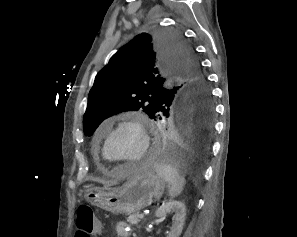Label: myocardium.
Masks as SVG:
<instances>
[{"label": "myocardium", "instance_id": "f54148a6", "mask_svg": "<svg viewBox=\"0 0 297 237\" xmlns=\"http://www.w3.org/2000/svg\"><path fill=\"white\" fill-rule=\"evenodd\" d=\"M124 127L134 128L141 139L140 152L137 155H135L134 157L126 158V159L115 157L112 154H110L108 151V144H109L111 138ZM150 148H151V137H150V134H149V131L147 128L146 120L141 117H131V118H127V119H124V120L118 122L111 129V131L107 134V136L105 138L103 152L106 155L107 159L111 162L120 163V164H128V163L139 162V161L144 160L147 157V155L149 154Z\"/></svg>", "mask_w": 297, "mask_h": 237}]
</instances>
